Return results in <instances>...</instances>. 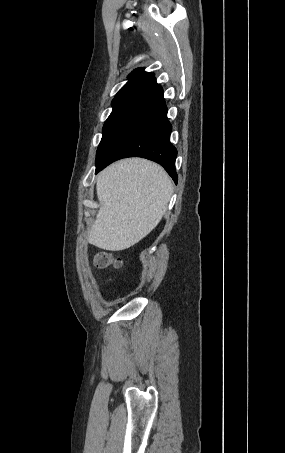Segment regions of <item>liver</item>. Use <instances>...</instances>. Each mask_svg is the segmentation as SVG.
I'll return each mask as SVG.
<instances>
[{
    "instance_id": "1",
    "label": "liver",
    "mask_w": 285,
    "mask_h": 453,
    "mask_svg": "<svg viewBox=\"0 0 285 453\" xmlns=\"http://www.w3.org/2000/svg\"><path fill=\"white\" fill-rule=\"evenodd\" d=\"M96 191L101 206L88 242L100 249L121 251L138 243L158 225L166 212L172 184L158 164L128 158L98 175Z\"/></svg>"
}]
</instances>
